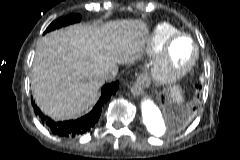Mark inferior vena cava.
Segmentation results:
<instances>
[{
    "instance_id": "inferior-vena-cava-1",
    "label": "inferior vena cava",
    "mask_w": 240,
    "mask_h": 160,
    "mask_svg": "<svg viewBox=\"0 0 240 160\" xmlns=\"http://www.w3.org/2000/svg\"><path fill=\"white\" fill-rule=\"evenodd\" d=\"M115 76H116V73H115V71H113V70L106 71V72H104V73L102 74V78H103L104 80L112 79V78H114Z\"/></svg>"
}]
</instances>
